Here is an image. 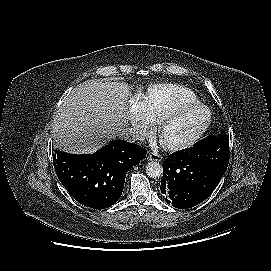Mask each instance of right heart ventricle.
I'll list each match as a JSON object with an SVG mask.
<instances>
[{
    "mask_svg": "<svg viewBox=\"0 0 271 271\" xmlns=\"http://www.w3.org/2000/svg\"><path fill=\"white\" fill-rule=\"evenodd\" d=\"M196 102H200L199 97L191 89L172 83L152 85L144 95L145 111L152 123L166 112Z\"/></svg>",
    "mask_w": 271,
    "mask_h": 271,
    "instance_id": "e07e8e85",
    "label": "right heart ventricle"
}]
</instances>
